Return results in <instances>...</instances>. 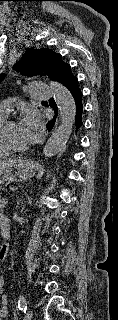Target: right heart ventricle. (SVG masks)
Returning <instances> with one entry per match:
<instances>
[{"instance_id":"obj_1","label":"right heart ventricle","mask_w":118,"mask_h":320,"mask_svg":"<svg viewBox=\"0 0 118 320\" xmlns=\"http://www.w3.org/2000/svg\"><path fill=\"white\" fill-rule=\"evenodd\" d=\"M5 118H6V115L0 112V125L5 120ZM10 153L11 151L8 150L6 147H4L0 142V157L8 156Z\"/></svg>"}]
</instances>
